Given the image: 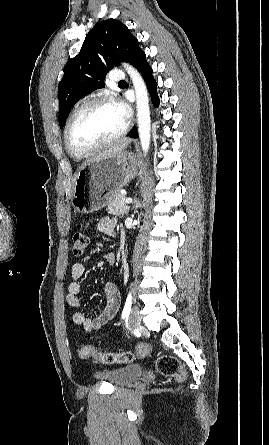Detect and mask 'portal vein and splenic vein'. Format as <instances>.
Returning a JSON list of instances; mask_svg holds the SVG:
<instances>
[{
  "label": "portal vein and splenic vein",
  "mask_w": 269,
  "mask_h": 445,
  "mask_svg": "<svg viewBox=\"0 0 269 445\" xmlns=\"http://www.w3.org/2000/svg\"><path fill=\"white\" fill-rule=\"evenodd\" d=\"M124 202H125L126 204H130V203L132 202V199H131V198H126V199L124 200Z\"/></svg>",
  "instance_id": "obj_1"
}]
</instances>
